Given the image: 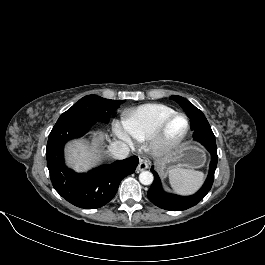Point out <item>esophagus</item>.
<instances>
[{
  "label": "esophagus",
  "mask_w": 265,
  "mask_h": 265,
  "mask_svg": "<svg viewBox=\"0 0 265 265\" xmlns=\"http://www.w3.org/2000/svg\"><path fill=\"white\" fill-rule=\"evenodd\" d=\"M150 165V162L146 159H140L139 164L137 166V172H141L145 169H147Z\"/></svg>",
  "instance_id": "1"
}]
</instances>
